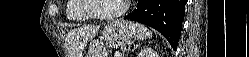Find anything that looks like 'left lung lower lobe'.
I'll return each instance as SVG.
<instances>
[{
    "instance_id": "1",
    "label": "left lung lower lobe",
    "mask_w": 249,
    "mask_h": 57,
    "mask_svg": "<svg viewBox=\"0 0 249 57\" xmlns=\"http://www.w3.org/2000/svg\"><path fill=\"white\" fill-rule=\"evenodd\" d=\"M187 0H139L137 8L124 19L141 22L162 33L176 50Z\"/></svg>"
}]
</instances>
